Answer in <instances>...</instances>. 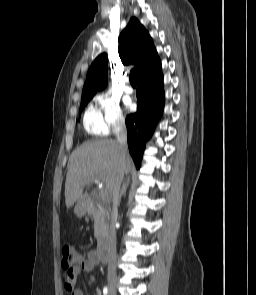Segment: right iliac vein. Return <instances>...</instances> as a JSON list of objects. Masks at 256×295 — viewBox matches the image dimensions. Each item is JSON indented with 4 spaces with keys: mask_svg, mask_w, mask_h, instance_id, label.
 I'll return each mask as SVG.
<instances>
[{
    "mask_svg": "<svg viewBox=\"0 0 256 295\" xmlns=\"http://www.w3.org/2000/svg\"><path fill=\"white\" fill-rule=\"evenodd\" d=\"M117 280L114 274L108 275V292L109 295H117L116 292Z\"/></svg>",
    "mask_w": 256,
    "mask_h": 295,
    "instance_id": "1",
    "label": "right iliac vein"
}]
</instances>
